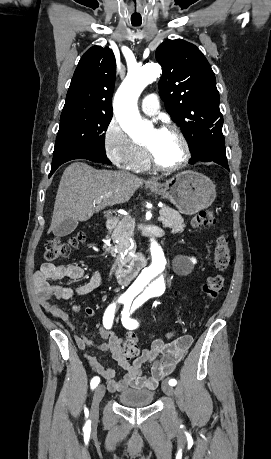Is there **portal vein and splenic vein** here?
Masks as SVG:
<instances>
[{
  "instance_id": "obj_1",
  "label": "portal vein and splenic vein",
  "mask_w": 271,
  "mask_h": 459,
  "mask_svg": "<svg viewBox=\"0 0 271 459\" xmlns=\"http://www.w3.org/2000/svg\"><path fill=\"white\" fill-rule=\"evenodd\" d=\"M158 218H159V219H158L159 221H163L165 217H164L163 214H161Z\"/></svg>"
}]
</instances>
